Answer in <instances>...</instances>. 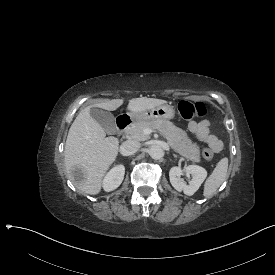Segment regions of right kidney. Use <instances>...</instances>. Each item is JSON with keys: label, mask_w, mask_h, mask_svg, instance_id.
I'll list each match as a JSON object with an SVG mask.
<instances>
[{"label": "right kidney", "mask_w": 275, "mask_h": 275, "mask_svg": "<svg viewBox=\"0 0 275 275\" xmlns=\"http://www.w3.org/2000/svg\"><path fill=\"white\" fill-rule=\"evenodd\" d=\"M124 174V165H117L113 167L103 179V189L106 192H110L118 188L124 179Z\"/></svg>", "instance_id": "ca27d5eb"}]
</instances>
